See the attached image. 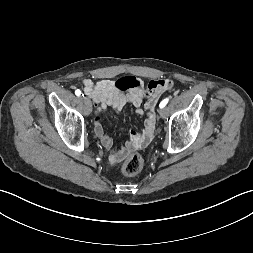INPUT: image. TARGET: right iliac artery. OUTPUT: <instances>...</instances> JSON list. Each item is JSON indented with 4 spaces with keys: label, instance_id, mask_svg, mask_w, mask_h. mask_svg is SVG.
Returning <instances> with one entry per match:
<instances>
[{
    "label": "right iliac artery",
    "instance_id": "1",
    "mask_svg": "<svg viewBox=\"0 0 253 253\" xmlns=\"http://www.w3.org/2000/svg\"><path fill=\"white\" fill-rule=\"evenodd\" d=\"M75 94L77 95V96H80L81 95V91L79 90V89H77L76 91H75ZM84 96V95H83Z\"/></svg>",
    "mask_w": 253,
    "mask_h": 253
}]
</instances>
